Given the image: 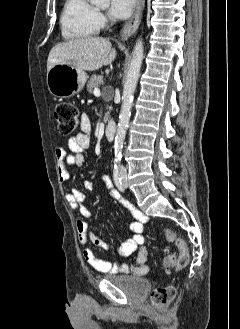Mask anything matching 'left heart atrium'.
<instances>
[{
  "mask_svg": "<svg viewBox=\"0 0 240 329\" xmlns=\"http://www.w3.org/2000/svg\"><path fill=\"white\" fill-rule=\"evenodd\" d=\"M136 0H111L109 14L116 19L128 18L134 8Z\"/></svg>",
  "mask_w": 240,
  "mask_h": 329,
  "instance_id": "1",
  "label": "left heart atrium"
}]
</instances>
